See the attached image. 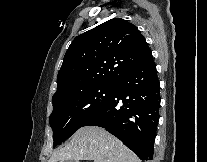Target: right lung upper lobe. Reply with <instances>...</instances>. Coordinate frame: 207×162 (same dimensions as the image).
Here are the masks:
<instances>
[{
    "instance_id": "cb5924a9",
    "label": "right lung upper lobe",
    "mask_w": 207,
    "mask_h": 162,
    "mask_svg": "<svg viewBox=\"0 0 207 162\" xmlns=\"http://www.w3.org/2000/svg\"><path fill=\"white\" fill-rule=\"evenodd\" d=\"M152 58L137 27L114 18L77 36L58 73L53 99L91 87L113 84L124 72Z\"/></svg>"
}]
</instances>
